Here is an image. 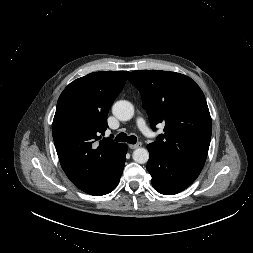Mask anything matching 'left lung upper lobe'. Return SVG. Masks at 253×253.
I'll return each mask as SVG.
<instances>
[{"label":"left lung upper lobe","mask_w":253,"mask_h":253,"mask_svg":"<svg viewBox=\"0 0 253 253\" xmlns=\"http://www.w3.org/2000/svg\"><path fill=\"white\" fill-rule=\"evenodd\" d=\"M128 80L139 90L151 128L165 123L153 144L170 159L202 170L212 122L205 96L188 76L161 70L133 71Z\"/></svg>","instance_id":"1"}]
</instances>
